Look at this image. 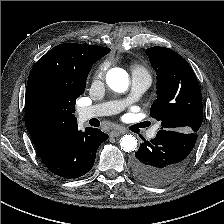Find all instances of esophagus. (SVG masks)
I'll use <instances>...</instances> for the list:
<instances>
[{
  "label": "esophagus",
  "mask_w": 224,
  "mask_h": 224,
  "mask_svg": "<svg viewBox=\"0 0 224 224\" xmlns=\"http://www.w3.org/2000/svg\"><path fill=\"white\" fill-rule=\"evenodd\" d=\"M124 133H125V131H123V130L115 129V130L111 131L110 135L113 136V137H117V136H120Z\"/></svg>",
  "instance_id": "1"
}]
</instances>
